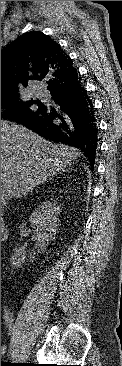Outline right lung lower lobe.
I'll list each match as a JSON object with an SVG mask.
<instances>
[{"mask_svg": "<svg viewBox=\"0 0 122 366\" xmlns=\"http://www.w3.org/2000/svg\"><path fill=\"white\" fill-rule=\"evenodd\" d=\"M51 102H40L38 110L21 117L25 127L43 139L78 151L93 167L98 143V129L93 105L77 76L74 80L48 88Z\"/></svg>", "mask_w": 122, "mask_h": 366, "instance_id": "right-lung-lower-lobe-1", "label": "right lung lower lobe"}]
</instances>
